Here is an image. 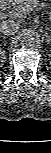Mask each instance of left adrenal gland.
Here are the masks:
<instances>
[{
  "label": "left adrenal gland",
  "instance_id": "a2214340",
  "mask_svg": "<svg viewBox=\"0 0 51 153\" xmlns=\"http://www.w3.org/2000/svg\"><path fill=\"white\" fill-rule=\"evenodd\" d=\"M49 40H50V35L46 33V41L49 42Z\"/></svg>",
  "mask_w": 51,
  "mask_h": 153
}]
</instances>
